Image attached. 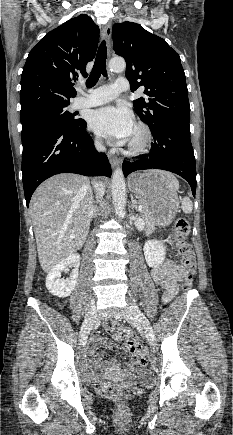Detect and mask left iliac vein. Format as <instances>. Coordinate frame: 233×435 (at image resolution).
<instances>
[{
  "instance_id": "obj_1",
  "label": "left iliac vein",
  "mask_w": 233,
  "mask_h": 435,
  "mask_svg": "<svg viewBox=\"0 0 233 435\" xmlns=\"http://www.w3.org/2000/svg\"><path fill=\"white\" fill-rule=\"evenodd\" d=\"M125 319L136 324L144 332L150 345L155 344L156 336L146 316L135 305L128 303L125 311Z\"/></svg>"
}]
</instances>
